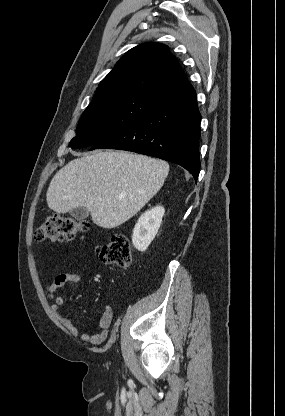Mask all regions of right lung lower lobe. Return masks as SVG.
Returning <instances> with one entry per match:
<instances>
[{"label": "right lung lower lobe", "mask_w": 285, "mask_h": 416, "mask_svg": "<svg viewBox=\"0 0 285 416\" xmlns=\"http://www.w3.org/2000/svg\"><path fill=\"white\" fill-rule=\"evenodd\" d=\"M200 119L196 96L162 107L125 129L93 144L96 148L133 151L174 162L197 181Z\"/></svg>", "instance_id": "right-lung-lower-lobe-1"}]
</instances>
